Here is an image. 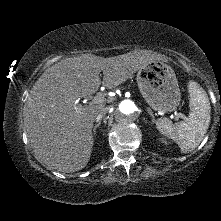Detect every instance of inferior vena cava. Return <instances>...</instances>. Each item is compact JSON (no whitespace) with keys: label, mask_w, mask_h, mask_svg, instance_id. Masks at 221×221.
I'll use <instances>...</instances> for the list:
<instances>
[{"label":"inferior vena cava","mask_w":221,"mask_h":221,"mask_svg":"<svg viewBox=\"0 0 221 221\" xmlns=\"http://www.w3.org/2000/svg\"><path fill=\"white\" fill-rule=\"evenodd\" d=\"M109 111L108 107H104L100 110V112L97 114V116L95 117L96 122H99L102 120V118L107 114V112Z\"/></svg>","instance_id":"602c4592"}]
</instances>
